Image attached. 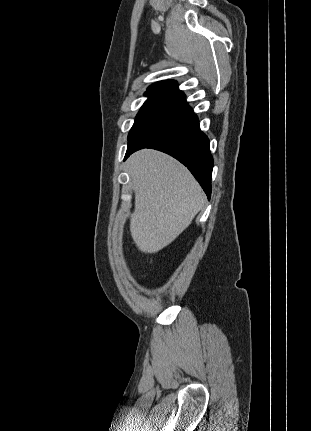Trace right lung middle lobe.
Segmentation results:
<instances>
[{
  "instance_id": "dd1d6c3e",
  "label": "right lung middle lobe",
  "mask_w": 311,
  "mask_h": 431,
  "mask_svg": "<svg viewBox=\"0 0 311 431\" xmlns=\"http://www.w3.org/2000/svg\"><path fill=\"white\" fill-rule=\"evenodd\" d=\"M145 96H147L148 99L137 114L135 122L128 134L129 142L143 127L156 118L160 113L181 100L178 96L155 91H147Z\"/></svg>"
}]
</instances>
